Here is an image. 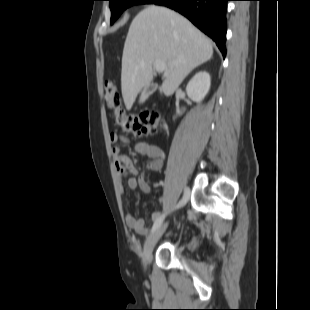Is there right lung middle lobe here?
<instances>
[{
	"label": "right lung middle lobe",
	"mask_w": 310,
	"mask_h": 310,
	"mask_svg": "<svg viewBox=\"0 0 310 310\" xmlns=\"http://www.w3.org/2000/svg\"><path fill=\"white\" fill-rule=\"evenodd\" d=\"M111 9V24L121 15L128 7L135 4H149L153 0H109Z\"/></svg>",
	"instance_id": "obj_1"
}]
</instances>
